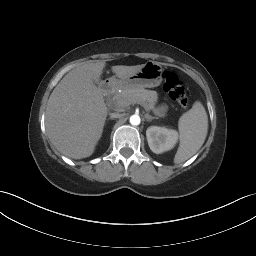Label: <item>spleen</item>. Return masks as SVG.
Returning <instances> with one entry per match:
<instances>
[{"mask_svg":"<svg viewBox=\"0 0 256 256\" xmlns=\"http://www.w3.org/2000/svg\"><path fill=\"white\" fill-rule=\"evenodd\" d=\"M180 145L174 157L179 164L193 156L203 145L208 130V116L201 102L196 101L192 108L185 112L178 123Z\"/></svg>","mask_w":256,"mask_h":256,"instance_id":"1","label":"spleen"}]
</instances>
